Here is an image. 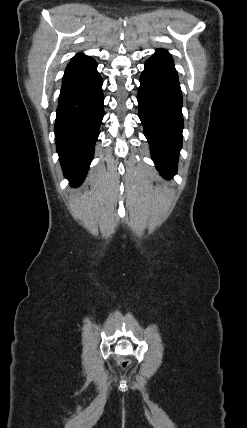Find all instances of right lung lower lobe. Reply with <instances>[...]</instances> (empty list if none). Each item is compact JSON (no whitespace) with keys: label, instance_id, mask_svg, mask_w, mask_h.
<instances>
[{"label":"right lung lower lobe","instance_id":"obj_1","mask_svg":"<svg viewBox=\"0 0 247 428\" xmlns=\"http://www.w3.org/2000/svg\"><path fill=\"white\" fill-rule=\"evenodd\" d=\"M102 78L90 57L70 62L62 78L55 121L59 159L73 186L85 178L104 116Z\"/></svg>","mask_w":247,"mask_h":428}]
</instances>
